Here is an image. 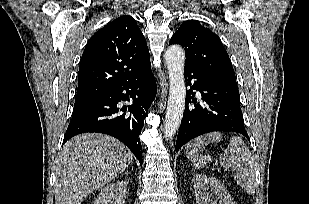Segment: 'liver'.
I'll use <instances>...</instances> for the list:
<instances>
[{"label":"liver","mask_w":309,"mask_h":204,"mask_svg":"<svg viewBox=\"0 0 309 204\" xmlns=\"http://www.w3.org/2000/svg\"><path fill=\"white\" fill-rule=\"evenodd\" d=\"M133 154L119 140L98 133L70 139L56 163L55 203L81 204L93 191L121 174Z\"/></svg>","instance_id":"liver-1"}]
</instances>
